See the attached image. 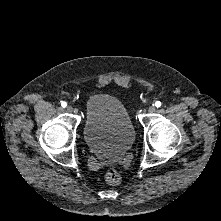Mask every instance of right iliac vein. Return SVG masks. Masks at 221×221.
Instances as JSON below:
<instances>
[{"label": "right iliac vein", "instance_id": "63e3f726", "mask_svg": "<svg viewBox=\"0 0 221 221\" xmlns=\"http://www.w3.org/2000/svg\"><path fill=\"white\" fill-rule=\"evenodd\" d=\"M66 109H67L68 112H72L73 111L72 106H68Z\"/></svg>", "mask_w": 221, "mask_h": 221}]
</instances>
